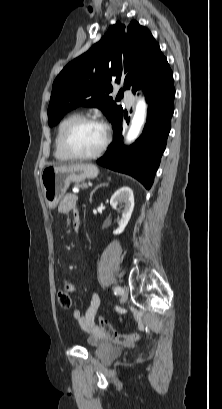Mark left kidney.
I'll list each match as a JSON object with an SVG mask.
<instances>
[{
    "label": "left kidney",
    "mask_w": 222,
    "mask_h": 409,
    "mask_svg": "<svg viewBox=\"0 0 222 409\" xmlns=\"http://www.w3.org/2000/svg\"><path fill=\"white\" fill-rule=\"evenodd\" d=\"M110 205L114 209H117L118 205L123 208L119 227L114 231L115 235L121 234L127 226L134 209V195L132 189L127 186L118 189L111 197Z\"/></svg>",
    "instance_id": "obj_1"
}]
</instances>
